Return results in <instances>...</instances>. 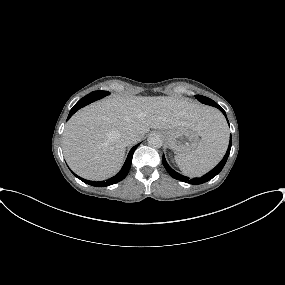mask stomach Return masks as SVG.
Segmentation results:
<instances>
[{
  "label": "stomach",
  "mask_w": 285,
  "mask_h": 285,
  "mask_svg": "<svg viewBox=\"0 0 285 285\" xmlns=\"http://www.w3.org/2000/svg\"><path fill=\"white\" fill-rule=\"evenodd\" d=\"M162 133L169 148L178 154L191 153L199 143V135L191 129H168Z\"/></svg>",
  "instance_id": "0dacf381"
}]
</instances>
